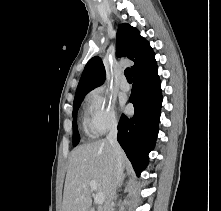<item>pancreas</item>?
<instances>
[{
	"label": "pancreas",
	"mask_w": 221,
	"mask_h": 211,
	"mask_svg": "<svg viewBox=\"0 0 221 211\" xmlns=\"http://www.w3.org/2000/svg\"><path fill=\"white\" fill-rule=\"evenodd\" d=\"M91 211H94V210L92 209ZM98 211H103V209H102V208H100Z\"/></svg>",
	"instance_id": "1"
}]
</instances>
